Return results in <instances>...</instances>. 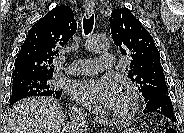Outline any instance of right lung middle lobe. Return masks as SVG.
Segmentation results:
<instances>
[{"label":"right lung middle lobe","instance_id":"obj_1","mask_svg":"<svg viewBox=\"0 0 184 133\" xmlns=\"http://www.w3.org/2000/svg\"><path fill=\"white\" fill-rule=\"evenodd\" d=\"M52 76L22 75L13 77L10 104L30 96H59L60 91L51 84Z\"/></svg>","mask_w":184,"mask_h":133}]
</instances>
